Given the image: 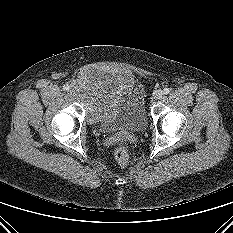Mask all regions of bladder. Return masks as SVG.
<instances>
[{"instance_id":"bladder-1","label":"bladder","mask_w":233,"mask_h":233,"mask_svg":"<svg viewBox=\"0 0 233 233\" xmlns=\"http://www.w3.org/2000/svg\"><path fill=\"white\" fill-rule=\"evenodd\" d=\"M71 91L84 103L87 120L104 131L141 132L147 127L144 91L128 71L88 66L72 80Z\"/></svg>"}]
</instances>
